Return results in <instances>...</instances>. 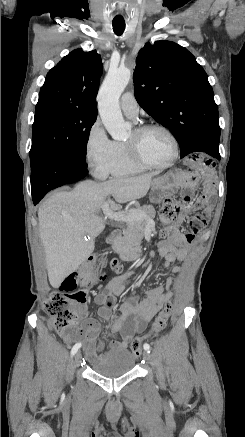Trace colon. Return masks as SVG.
Here are the masks:
<instances>
[{
    "mask_svg": "<svg viewBox=\"0 0 245 437\" xmlns=\"http://www.w3.org/2000/svg\"><path fill=\"white\" fill-rule=\"evenodd\" d=\"M178 208L176 202L166 199L159 210L161 222L166 224L173 221L177 216ZM107 264V260L102 255H91L76 271L65 277L59 291L48 298L45 308L60 334L76 338L82 336L83 327H79L77 323L81 316L80 309L88 301L87 288L105 280ZM109 265L116 272L121 270V265L116 259L111 260ZM171 312L172 305L167 303L152 323L149 332L132 341L130 349L133 355L139 356L142 352V343L166 327Z\"/></svg>",
    "mask_w": 245,
    "mask_h": 437,
    "instance_id": "1",
    "label": "colon"
}]
</instances>
